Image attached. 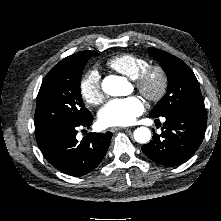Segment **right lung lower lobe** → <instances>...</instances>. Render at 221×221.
<instances>
[{
	"label": "right lung lower lobe",
	"instance_id": "98d812e1",
	"mask_svg": "<svg viewBox=\"0 0 221 221\" xmlns=\"http://www.w3.org/2000/svg\"><path fill=\"white\" fill-rule=\"evenodd\" d=\"M90 114L79 123L54 125L35 131L38 147L56 169L71 176H82L96 168L108 150L111 132L90 133L81 142L76 139L79 126L89 128Z\"/></svg>",
	"mask_w": 221,
	"mask_h": 221
}]
</instances>
